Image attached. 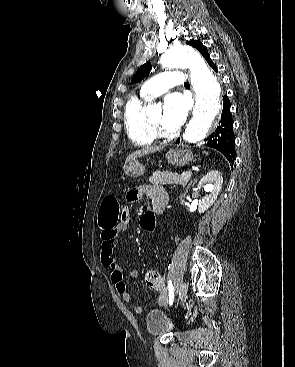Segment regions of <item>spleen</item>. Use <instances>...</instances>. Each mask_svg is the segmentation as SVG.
I'll return each instance as SVG.
<instances>
[{
    "label": "spleen",
    "instance_id": "spleen-1",
    "mask_svg": "<svg viewBox=\"0 0 295 367\" xmlns=\"http://www.w3.org/2000/svg\"><path fill=\"white\" fill-rule=\"evenodd\" d=\"M206 155H208V152H204Z\"/></svg>",
    "mask_w": 295,
    "mask_h": 367
}]
</instances>
